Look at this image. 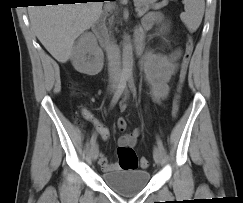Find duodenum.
I'll list each match as a JSON object with an SVG mask.
<instances>
[{"instance_id": "1", "label": "duodenum", "mask_w": 243, "mask_h": 203, "mask_svg": "<svg viewBox=\"0 0 243 203\" xmlns=\"http://www.w3.org/2000/svg\"><path fill=\"white\" fill-rule=\"evenodd\" d=\"M92 32L97 38L98 42L103 43L104 37V17L99 18L92 26ZM134 51L137 56L143 53V44L141 41H136L134 44Z\"/></svg>"}]
</instances>
